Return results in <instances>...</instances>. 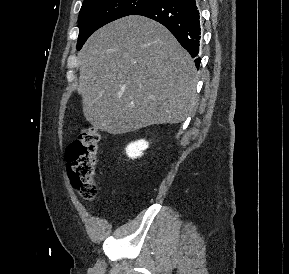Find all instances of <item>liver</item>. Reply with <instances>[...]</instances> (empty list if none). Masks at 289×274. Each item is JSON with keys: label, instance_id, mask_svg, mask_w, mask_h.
<instances>
[{"label": "liver", "instance_id": "liver-1", "mask_svg": "<svg viewBox=\"0 0 289 274\" xmlns=\"http://www.w3.org/2000/svg\"><path fill=\"white\" fill-rule=\"evenodd\" d=\"M86 120L109 134L177 124L193 110L190 54L161 24L131 15L97 30L78 53Z\"/></svg>", "mask_w": 289, "mask_h": 274}]
</instances>
